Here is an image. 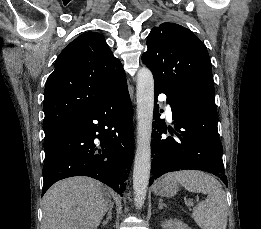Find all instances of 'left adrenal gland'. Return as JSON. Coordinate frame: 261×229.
I'll list each match as a JSON object with an SVG mask.
<instances>
[{"mask_svg": "<svg viewBox=\"0 0 261 229\" xmlns=\"http://www.w3.org/2000/svg\"><path fill=\"white\" fill-rule=\"evenodd\" d=\"M163 207H166V205H164L162 199H159V209H163Z\"/></svg>", "mask_w": 261, "mask_h": 229, "instance_id": "obj_1", "label": "left adrenal gland"}]
</instances>
